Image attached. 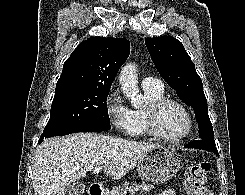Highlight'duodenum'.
Masks as SVG:
<instances>
[{
    "label": "duodenum",
    "mask_w": 245,
    "mask_h": 195,
    "mask_svg": "<svg viewBox=\"0 0 245 195\" xmlns=\"http://www.w3.org/2000/svg\"><path fill=\"white\" fill-rule=\"evenodd\" d=\"M89 195H104V189L99 184L95 183L91 186Z\"/></svg>",
    "instance_id": "duodenum-1"
}]
</instances>
